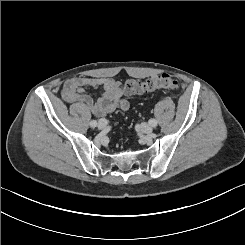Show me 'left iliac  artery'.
<instances>
[{
    "instance_id": "1",
    "label": "left iliac artery",
    "mask_w": 245,
    "mask_h": 245,
    "mask_svg": "<svg viewBox=\"0 0 245 245\" xmlns=\"http://www.w3.org/2000/svg\"><path fill=\"white\" fill-rule=\"evenodd\" d=\"M149 124L152 126V127H156L157 126V121L155 119H150L149 120Z\"/></svg>"
}]
</instances>
